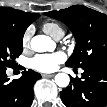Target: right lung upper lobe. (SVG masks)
Masks as SVG:
<instances>
[{
	"mask_svg": "<svg viewBox=\"0 0 107 107\" xmlns=\"http://www.w3.org/2000/svg\"><path fill=\"white\" fill-rule=\"evenodd\" d=\"M0 15L12 19L16 24L24 28H27L39 17L38 13L24 12L10 7H0Z\"/></svg>",
	"mask_w": 107,
	"mask_h": 107,
	"instance_id": "1",
	"label": "right lung upper lobe"
}]
</instances>
